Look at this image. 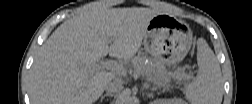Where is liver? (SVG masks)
I'll use <instances>...</instances> for the list:
<instances>
[{"mask_svg": "<svg viewBox=\"0 0 252 104\" xmlns=\"http://www.w3.org/2000/svg\"><path fill=\"white\" fill-rule=\"evenodd\" d=\"M143 7H95L63 22L42 45L31 67L29 95L36 104H91L116 75L95 68L105 55L130 60L150 20Z\"/></svg>", "mask_w": 252, "mask_h": 104, "instance_id": "1", "label": "liver"}]
</instances>
